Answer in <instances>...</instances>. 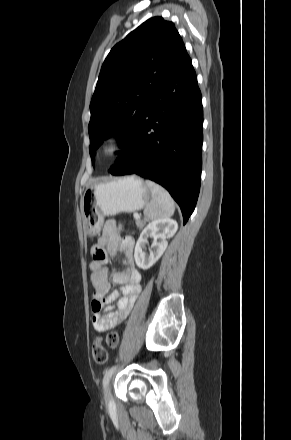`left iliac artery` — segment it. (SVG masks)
Masks as SVG:
<instances>
[{"mask_svg": "<svg viewBox=\"0 0 291 440\" xmlns=\"http://www.w3.org/2000/svg\"><path fill=\"white\" fill-rule=\"evenodd\" d=\"M115 369H116V366H112V367H110L109 369H107L105 371L104 377H103V381H102L103 388H105L107 386V384H108L112 374L114 373Z\"/></svg>", "mask_w": 291, "mask_h": 440, "instance_id": "left-iliac-artery-1", "label": "left iliac artery"}]
</instances>
